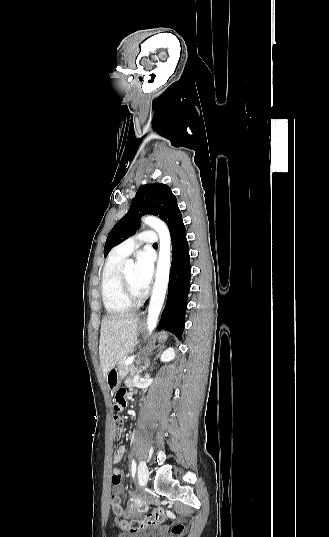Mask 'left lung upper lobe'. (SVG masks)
I'll return each instance as SVG.
<instances>
[{
	"label": "left lung upper lobe",
	"instance_id": "1",
	"mask_svg": "<svg viewBox=\"0 0 329 537\" xmlns=\"http://www.w3.org/2000/svg\"><path fill=\"white\" fill-rule=\"evenodd\" d=\"M145 214L159 216L168 225L170 235L183 223L176 196L168 185H143L138 189L127 214L110 231L104 247V256L139 228L140 218Z\"/></svg>",
	"mask_w": 329,
	"mask_h": 537
}]
</instances>
